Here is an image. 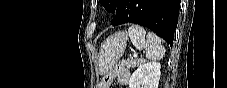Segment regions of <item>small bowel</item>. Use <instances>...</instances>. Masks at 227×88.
I'll return each mask as SVG.
<instances>
[{"mask_svg":"<svg viewBox=\"0 0 227 88\" xmlns=\"http://www.w3.org/2000/svg\"><path fill=\"white\" fill-rule=\"evenodd\" d=\"M115 77L118 78L120 84L126 85L130 78V72L123 66L117 65L114 67L112 72L105 76V78L101 81V85L104 88H109Z\"/></svg>","mask_w":227,"mask_h":88,"instance_id":"1","label":"small bowel"}]
</instances>
